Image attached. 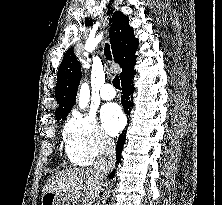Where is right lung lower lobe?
Wrapping results in <instances>:
<instances>
[{"label":"right lung lower lobe","mask_w":222,"mask_h":205,"mask_svg":"<svg viewBox=\"0 0 222 205\" xmlns=\"http://www.w3.org/2000/svg\"><path fill=\"white\" fill-rule=\"evenodd\" d=\"M134 74H135V72L129 74L128 76H126L125 78H123L121 80V84H122L121 103L123 105L124 112L127 115H130V110H131V107L133 106L130 96H131L132 92L134 91V87L132 84V78H133ZM125 139H126V130H123L122 134L118 138L117 146H116L117 163H119V161H120L121 151H122L123 145L125 143ZM114 174H115L114 171L112 173H110V177L113 178Z\"/></svg>","instance_id":"obj_1"}]
</instances>
